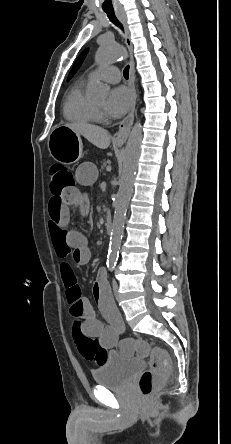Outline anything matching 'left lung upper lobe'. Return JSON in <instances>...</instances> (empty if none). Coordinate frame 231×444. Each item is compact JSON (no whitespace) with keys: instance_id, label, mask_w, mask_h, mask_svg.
<instances>
[{"instance_id":"5c2ea615","label":"left lung upper lobe","mask_w":231,"mask_h":444,"mask_svg":"<svg viewBox=\"0 0 231 444\" xmlns=\"http://www.w3.org/2000/svg\"><path fill=\"white\" fill-rule=\"evenodd\" d=\"M86 53H87V49L84 50V51L79 55V57L77 58V60H76V62H75V64H74V66H73V68H72V70H71V72H70V74H69L67 80H70V79L73 77V75L77 72V70L79 69V67H80L81 64H82V61H83V59H84Z\"/></svg>"}]
</instances>
